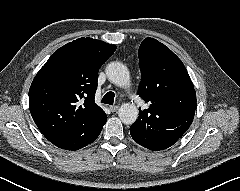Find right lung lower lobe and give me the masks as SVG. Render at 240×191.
<instances>
[{"mask_svg": "<svg viewBox=\"0 0 240 191\" xmlns=\"http://www.w3.org/2000/svg\"><path fill=\"white\" fill-rule=\"evenodd\" d=\"M106 119L93 131H90L88 133H85L79 136H72L68 138L57 139L50 142L53 143L55 146L65 150L74 151V150L81 149L96 140V138L101 133L103 125L106 123Z\"/></svg>", "mask_w": 240, "mask_h": 191, "instance_id": "98d812e1", "label": "right lung lower lobe"}]
</instances>
